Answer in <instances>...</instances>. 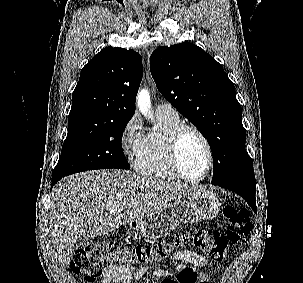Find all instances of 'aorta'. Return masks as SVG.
Listing matches in <instances>:
<instances>
[{
    "label": "aorta",
    "instance_id": "aorta-1",
    "mask_svg": "<svg viewBox=\"0 0 303 283\" xmlns=\"http://www.w3.org/2000/svg\"><path fill=\"white\" fill-rule=\"evenodd\" d=\"M137 105L139 110L147 116L149 108L151 107L150 95L149 92L145 89H142L137 96Z\"/></svg>",
    "mask_w": 303,
    "mask_h": 283
}]
</instances>
